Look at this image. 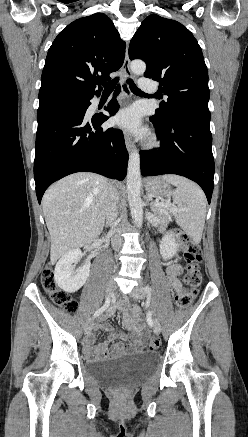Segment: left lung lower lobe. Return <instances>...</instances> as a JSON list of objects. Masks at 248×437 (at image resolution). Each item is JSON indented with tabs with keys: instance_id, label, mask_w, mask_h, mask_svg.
<instances>
[{
	"instance_id": "0a47b994",
	"label": "left lung lower lobe",
	"mask_w": 248,
	"mask_h": 437,
	"mask_svg": "<svg viewBox=\"0 0 248 437\" xmlns=\"http://www.w3.org/2000/svg\"><path fill=\"white\" fill-rule=\"evenodd\" d=\"M150 121L161 147L156 151H140L142 175L187 177L201 186L210 203L214 177L210 111H179L167 121L156 115Z\"/></svg>"
}]
</instances>
